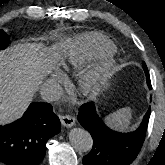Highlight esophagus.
<instances>
[{
    "mask_svg": "<svg viewBox=\"0 0 165 165\" xmlns=\"http://www.w3.org/2000/svg\"><path fill=\"white\" fill-rule=\"evenodd\" d=\"M60 121L63 126L72 127L75 124L76 119L73 116L65 115L60 116Z\"/></svg>",
    "mask_w": 165,
    "mask_h": 165,
    "instance_id": "obj_1",
    "label": "esophagus"
}]
</instances>
